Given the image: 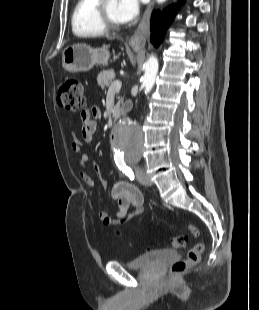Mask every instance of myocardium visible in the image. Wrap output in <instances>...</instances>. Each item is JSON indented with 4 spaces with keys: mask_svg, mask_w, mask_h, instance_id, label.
Returning <instances> with one entry per match:
<instances>
[{
    "mask_svg": "<svg viewBox=\"0 0 259 310\" xmlns=\"http://www.w3.org/2000/svg\"><path fill=\"white\" fill-rule=\"evenodd\" d=\"M106 0H100L96 6V18L99 25L104 31L117 30L121 27V24L114 23L110 20L106 11Z\"/></svg>",
    "mask_w": 259,
    "mask_h": 310,
    "instance_id": "1",
    "label": "myocardium"
}]
</instances>
